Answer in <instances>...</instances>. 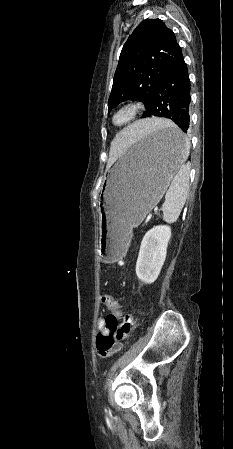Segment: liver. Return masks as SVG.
<instances>
[{
  "label": "liver",
  "instance_id": "liver-1",
  "mask_svg": "<svg viewBox=\"0 0 233 449\" xmlns=\"http://www.w3.org/2000/svg\"><path fill=\"white\" fill-rule=\"evenodd\" d=\"M169 123L170 121L159 118L144 119L127 126L119 133H113L110 161H116L130 143L138 142L142 136Z\"/></svg>",
  "mask_w": 233,
  "mask_h": 449
}]
</instances>
